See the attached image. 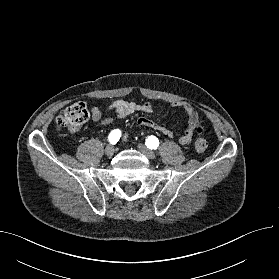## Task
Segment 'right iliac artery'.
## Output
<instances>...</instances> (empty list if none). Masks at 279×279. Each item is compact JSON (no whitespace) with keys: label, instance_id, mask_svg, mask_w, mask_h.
<instances>
[{"label":"right iliac artery","instance_id":"1","mask_svg":"<svg viewBox=\"0 0 279 279\" xmlns=\"http://www.w3.org/2000/svg\"><path fill=\"white\" fill-rule=\"evenodd\" d=\"M121 137V131L119 129H115L111 131L108 136V140L111 144H116Z\"/></svg>","mask_w":279,"mask_h":279}]
</instances>
